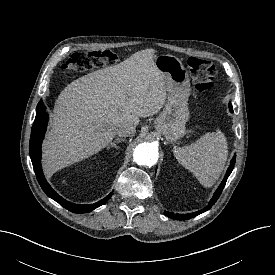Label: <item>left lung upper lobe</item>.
Instances as JSON below:
<instances>
[{"label": "left lung upper lobe", "instance_id": "1", "mask_svg": "<svg viewBox=\"0 0 275 275\" xmlns=\"http://www.w3.org/2000/svg\"><path fill=\"white\" fill-rule=\"evenodd\" d=\"M229 109H230V112H233V108H232V104L229 103Z\"/></svg>", "mask_w": 275, "mask_h": 275}]
</instances>
